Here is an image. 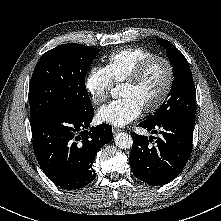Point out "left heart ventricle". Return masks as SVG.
<instances>
[{
  "instance_id": "b2bd125f",
  "label": "left heart ventricle",
  "mask_w": 221,
  "mask_h": 221,
  "mask_svg": "<svg viewBox=\"0 0 221 221\" xmlns=\"http://www.w3.org/2000/svg\"><path fill=\"white\" fill-rule=\"evenodd\" d=\"M167 81L168 71L166 66L162 62H156L137 84H122L120 95L134 98L144 108L153 105L159 99Z\"/></svg>"
}]
</instances>
